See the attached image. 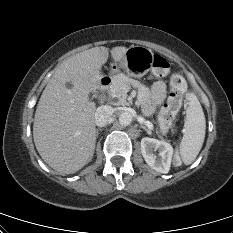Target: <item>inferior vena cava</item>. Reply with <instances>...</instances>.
<instances>
[{
	"label": "inferior vena cava",
	"instance_id": "obj_1",
	"mask_svg": "<svg viewBox=\"0 0 233 233\" xmlns=\"http://www.w3.org/2000/svg\"><path fill=\"white\" fill-rule=\"evenodd\" d=\"M114 109L111 106L104 105L97 108L95 113V124L98 127H105L113 119Z\"/></svg>",
	"mask_w": 233,
	"mask_h": 233
}]
</instances>
